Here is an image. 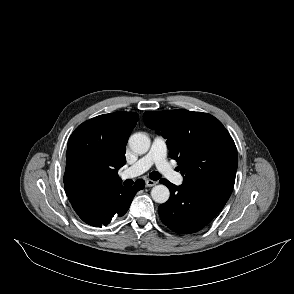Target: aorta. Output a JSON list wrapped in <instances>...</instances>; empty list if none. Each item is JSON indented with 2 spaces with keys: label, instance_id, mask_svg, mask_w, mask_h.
I'll return each instance as SVG.
<instances>
[{
  "label": "aorta",
  "instance_id": "762f6f07",
  "mask_svg": "<svg viewBox=\"0 0 294 294\" xmlns=\"http://www.w3.org/2000/svg\"><path fill=\"white\" fill-rule=\"evenodd\" d=\"M129 147L136 154H145L150 148V138L144 133H135L129 138ZM152 199L157 203H165L170 197L165 185H156L151 190Z\"/></svg>",
  "mask_w": 294,
  "mask_h": 294
}]
</instances>
